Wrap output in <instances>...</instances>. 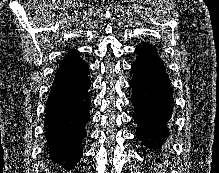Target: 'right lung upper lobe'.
<instances>
[{
    "label": "right lung upper lobe",
    "instance_id": "obj_1",
    "mask_svg": "<svg viewBox=\"0 0 219 173\" xmlns=\"http://www.w3.org/2000/svg\"><path fill=\"white\" fill-rule=\"evenodd\" d=\"M79 53H77L76 54V50H72L71 52H70V54H68L67 56H65V58L67 59V58H71V57H74V56H76V55H78Z\"/></svg>",
    "mask_w": 219,
    "mask_h": 173
}]
</instances>
